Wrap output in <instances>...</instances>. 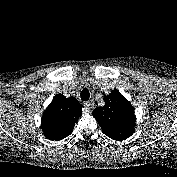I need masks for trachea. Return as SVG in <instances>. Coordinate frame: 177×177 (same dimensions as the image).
Listing matches in <instances>:
<instances>
[{"label": "trachea", "instance_id": "3493384b", "mask_svg": "<svg viewBox=\"0 0 177 177\" xmlns=\"http://www.w3.org/2000/svg\"><path fill=\"white\" fill-rule=\"evenodd\" d=\"M80 97H81V100L83 101L89 100V97H90L89 90L87 88H84L80 93Z\"/></svg>", "mask_w": 177, "mask_h": 177}]
</instances>
